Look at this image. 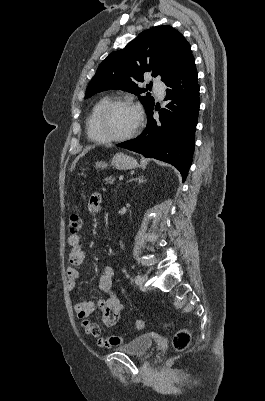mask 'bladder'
Masks as SVG:
<instances>
[{"mask_svg":"<svg viewBox=\"0 0 265 401\" xmlns=\"http://www.w3.org/2000/svg\"><path fill=\"white\" fill-rule=\"evenodd\" d=\"M154 345V340L148 336H138L133 338L129 343L124 346L116 347V350H121L125 353L134 356H144L147 350Z\"/></svg>","mask_w":265,"mask_h":401,"instance_id":"bladder-1","label":"bladder"}]
</instances>
